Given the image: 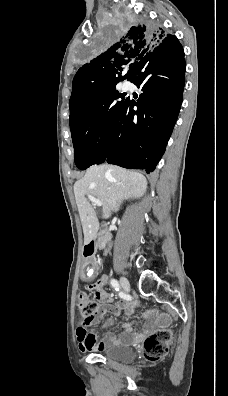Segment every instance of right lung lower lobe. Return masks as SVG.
Masks as SVG:
<instances>
[{
    "instance_id": "1",
    "label": "right lung lower lobe",
    "mask_w": 228,
    "mask_h": 396,
    "mask_svg": "<svg viewBox=\"0 0 228 396\" xmlns=\"http://www.w3.org/2000/svg\"><path fill=\"white\" fill-rule=\"evenodd\" d=\"M129 80L143 93L135 100L125 98L104 161L149 174L165 152L182 104L185 61L181 44L166 50L158 46L140 61Z\"/></svg>"
}]
</instances>
